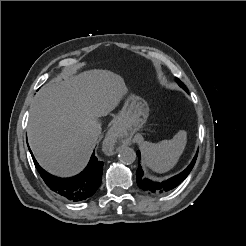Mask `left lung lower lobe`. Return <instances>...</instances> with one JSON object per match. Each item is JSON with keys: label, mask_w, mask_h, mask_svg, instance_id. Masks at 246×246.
Here are the masks:
<instances>
[{"label": "left lung lower lobe", "mask_w": 246, "mask_h": 246, "mask_svg": "<svg viewBox=\"0 0 246 246\" xmlns=\"http://www.w3.org/2000/svg\"><path fill=\"white\" fill-rule=\"evenodd\" d=\"M137 156L140 159V151H137ZM196 158H197V154L195 155V157L193 158L189 166L184 171H182L178 175L171 177L163 182H154L152 180L145 178L142 167L139 163V166L136 172L137 184L142 190H144L145 192L149 194L158 195V194L166 193L174 189L175 187H177L183 180H185V178L189 175L190 171L192 170L195 164Z\"/></svg>", "instance_id": "0a47b994"}]
</instances>
